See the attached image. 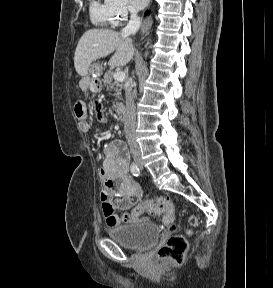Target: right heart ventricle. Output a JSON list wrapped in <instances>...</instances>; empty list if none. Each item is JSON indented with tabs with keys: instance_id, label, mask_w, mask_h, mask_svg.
I'll list each match as a JSON object with an SVG mask.
<instances>
[{
	"instance_id": "obj_1",
	"label": "right heart ventricle",
	"mask_w": 273,
	"mask_h": 288,
	"mask_svg": "<svg viewBox=\"0 0 273 288\" xmlns=\"http://www.w3.org/2000/svg\"><path fill=\"white\" fill-rule=\"evenodd\" d=\"M90 16L92 22L96 25H114L105 0H92L90 5Z\"/></svg>"
}]
</instances>
